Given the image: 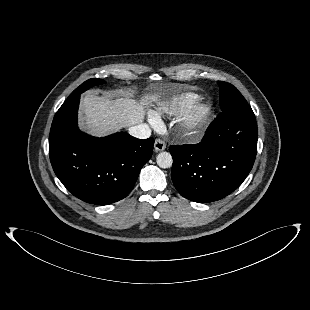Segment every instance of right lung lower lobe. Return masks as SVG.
Wrapping results in <instances>:
<instances>
[{
	"label": "right lung lower lobe",
	"mask_w": 310,
	"mask_h": 310,
	"mask_svg": "<svg viewBox=\"0 0 310 310\" xmlns=\"http://www.w3.org/2000/svg\"><path fill=\"white\" fill-rule=\"evenodd\" d=\"M80 94L67 98L54 116L49 135L53 170L67 190L96 205L126 197L150 159L154 139L140 140L119 132L104 138L82 133L77 126Z\"/></svg>",
	"instance_id": "98d812e1"
}]
</instances>
